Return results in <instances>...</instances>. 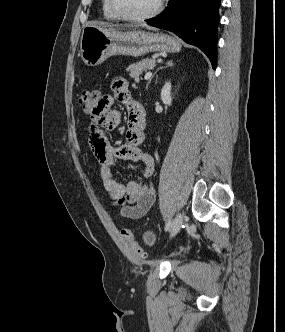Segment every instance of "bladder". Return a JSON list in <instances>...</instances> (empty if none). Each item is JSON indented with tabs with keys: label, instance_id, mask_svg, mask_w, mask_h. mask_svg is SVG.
Returning a JSON list of instances; mask_svg holds the SVG:
<instances>
[{
	"label": "bladder",
	"instance_id": "31cf9c89",
	"mask_svg": "<svg viewBox=\"0 0 285 332\" xmlns=\"http://www.w3.org/2000/svg\"><path fill=\"white\" fill-rule=\"evenodd\" d=\"M144 240L149 244L152 243L153 242V235L149 232L145 233L144 234Z\"/></svg>",
	"mask_w": 285,
	"mask_h": 332
}]
</instances>
